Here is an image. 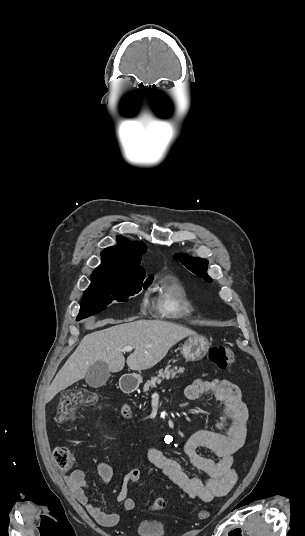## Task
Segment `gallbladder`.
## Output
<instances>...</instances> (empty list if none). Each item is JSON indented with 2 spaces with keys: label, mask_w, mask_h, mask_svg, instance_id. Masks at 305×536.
I'll list each match as a JSON object with an SVG mask.
<instances>
[{
  "label": "gallbladder",
  "mask_w": 305,
  "mask_h": 536,
  "mask_svg": "<svg viewBox=\"0 0 305 536\" xmlns=\"http://www.w3.org/2000/svg\"><path fill=\"white\" fill-rule=\"evenodd\" d=\"M110 376L111 374L108 364L98 360V362H95V364L89 366L86 372L85 382L88 384V386H91V388H100V386H105Z\"/></svg>",
  "instance_id": "obj_1"
}]
</instances>
